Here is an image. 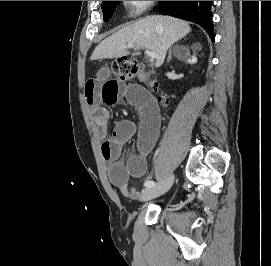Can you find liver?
<instances>
[{"label": "liver", "instance_id": "6515ba94", "mask_svg": "<svg viewBox=\"0 0 271 266\" xmlns=\"http://www.w3.org/2000/svg\"><path fill=\"white\" fill-rule=\"evenodd\" d=\"M191 32L189 24L171 16H147L124 27L103 40L91 55V60L112 59L129 54L125 45L156 52L155 66L160 67L167 50Z\"/></svg>", "mask_w": 271, "mask_h": 266}]
</instances>
